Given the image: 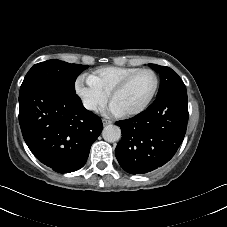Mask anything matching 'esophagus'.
Segmentation results:
<instances>
[{
	"label": "esophagus",
	"mask_w": 227,
	"mask_h": 227,
	"mask_svg": "<svg viewBox=\"0 0 227 227\" xmlns=\"http://www.w3.org/2000/svg\"><path fill=\"white\" fill-rule=\"evenodd\" d=\"M103 124L106 126V125H109V124H112V120H109V119H103Z\"/></svg>",
	"instance_id": "esophagus-1"
}]
</instances>
